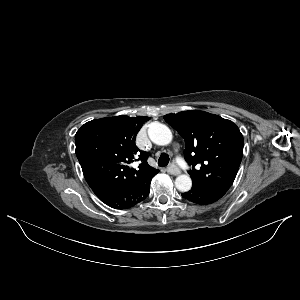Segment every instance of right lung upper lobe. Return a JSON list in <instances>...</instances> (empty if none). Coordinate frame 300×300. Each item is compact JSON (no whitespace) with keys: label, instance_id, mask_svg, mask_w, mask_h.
<instances>
[{"label":"right lung upper lobe","instance_id":"1","mask_svg":"<svg viewBox=\"0 0 300 300\" xmlns=\"http://www.w3.org/2000/svg\"><path fill=\"white\" fill-rule=\"evenodd\" d=\"M149 117L116 116L85 123L75 135L76 155L84 177L97 196L142 184L159 172L147 163L148 154L135 138ZM140 161L138 169L130 168Z\"/></svg>","mask_w":300,"mask_h":300}]
</instances>
